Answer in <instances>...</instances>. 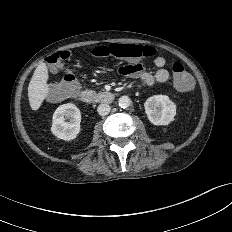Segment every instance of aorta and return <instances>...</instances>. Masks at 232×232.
Wrapping results in <instances>:
<instances>
[{"label": "aorta", "mask_w": 232, "mask_h": 232, "mask_svg": "<svg viewBox=\"0 0 232 232\" xmlns=\"http://www.w3.org/2000/svg\"><path fill=\"white\" fill-rule=\"evenodd\" d=\"M118 104L121 108H127L131 104V100L128 96H122L118 100Z\"/></svg>", "instance_id": "762f6f07"}]
</instances>
